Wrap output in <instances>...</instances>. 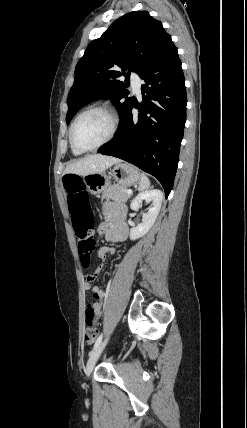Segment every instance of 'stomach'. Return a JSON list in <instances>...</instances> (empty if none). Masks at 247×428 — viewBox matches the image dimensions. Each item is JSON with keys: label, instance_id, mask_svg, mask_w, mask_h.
<instances>
[{"label": "stomach", "instance_id": "obj_1", "mask_svg": "<svg viewBox=\"0 0 247 428\" xmlns=\"http://www.w3.org/2000/svg\"><path fill=\"white\" fill-rule=\"evenodd\" d=\"M88 191L92 195H100L110 186V179L113 178L119 185L131 186L140 180L139 170L125 162L114 165L110 174L105 171L88 174L81 177Z\"/></svg>", "mask_w": 247, "mask_h": 428}]
</instances>
